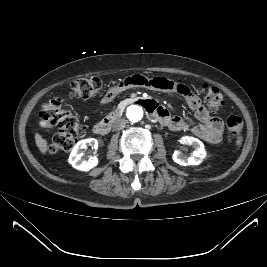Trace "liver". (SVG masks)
<instances>
[{
    "instance_id": "liver-1",
    "label": "liver",
    "mask_w": 267,
    "mask_h": 267,
    "mask_svg": "<svg viewBox=\"0 0 267 267\" xmlns=\"http://www.w3.org/2000/svg\"><path fill=\"white\" fill-rule=\"evenodd\" d=\"M35 142L41 153L46 154L48 151V142L38 133L35 134Z\"/></svg>"
}]
</instances>
